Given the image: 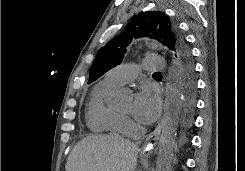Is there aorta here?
I'll list each match as a JSON object with an SVG mask.
<instances>
[{
	"label": "aorta",
	"mask_w": 245,
	"mask_h": 171,
	"mask_svg": "<svg viewBox=\"0 0 245 171\" xmlns=\"http://www.w3.org/2000/svg\"><path fill=\"white\" fill-rule=\"evenodd\" d=\"M151 46L153 48L159 47L160 49H165V47L156 42H152ZM166 87L165 113L161 123V135L155 171H171L176 129L179 122V113L183 104V91L176 74V67L174 66L168 69ZM129 97L127 91L120 90L116 93L112 105L116 108H125Z\"/></svg>",
	"instance_id": "1"
}]
</instances>
